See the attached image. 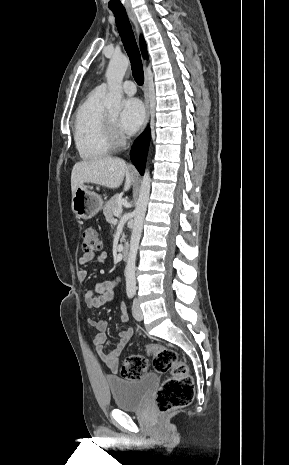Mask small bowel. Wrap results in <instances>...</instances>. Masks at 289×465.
<instances>
[{
  "label": "small bowel",
  "instance_id": "obj_1",
  "mask_svg": "<svg viewBox=\"0 0 289 465\" xmlns=\"http://www.w3.org/2000/svg\"><path fill=\"white\" fill-rule=\"evenodd\" d=\"M95 257L94 253H84L79 259L78 264L81 268L77 272V277L81 282L87 279V271L83 268L88 262ZM96 260L99 263H104L107 260V253L100 252L96 255ZM118 285V279L107 280L98 282L93 289L87 290L84 293L85 303L90 308H98L102 305L111 302L115 298L116 287ZM121 309V320L124 323L129 321V316L123 305H120ZM88 323L97 329V334L94 339V344L100 353L102 360L105 362L111 372L116 373L119 368L118 357L123 352L124 348L130 341L133 335V329L127 328L119 333L118 341L116 346L110 352H104L103 346L106 340V331L108 328V322L104 319L90 318Z\"/></svg>",
  "mask_w": 289,
  "mask_h": 465
}]
</instances>
